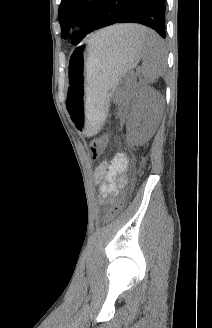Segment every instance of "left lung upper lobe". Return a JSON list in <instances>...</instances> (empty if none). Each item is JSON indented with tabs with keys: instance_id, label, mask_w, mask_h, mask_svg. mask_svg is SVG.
<instances>
[{
	"instance_id": "obj_1",
	"label": "left lung upper lobe",
	"mask_w": 212,
	"mask_h": 328,
	"mask_svg": "<svg viewBox=\"0 0 212 328\" xmlns=\"http://www.w3.org/2000/svg\"><path fill=\"white\" fill-rule=\"evenodd\" d=\"M104 2L105 0H62L58 11L62 37H65L73 24H78L82 29L73 34L72 44L80 43L87 34L94 31Z\"/></svg>"
}]
</instances>
